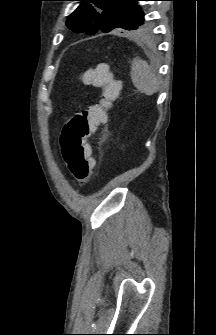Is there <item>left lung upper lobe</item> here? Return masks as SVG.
Segmentation results:
<instances>
[{
  "label": "left lung upper lobe",
  "instance_id": "obj_1",
  "mask_svg": "<svg viewBox=\"0 0 216 335\" xmlns=\"http://www.w3.org/2000/svg\"><path fill=\"white\" fill-rule=\"evenodd\" d=\"M78 1L82 2L66 21L74 32L91 35L98 31L108 33L113 29L142 30L149 27L142 9L137 5L143 0Z\"/></svg>",
  "mask_w": 216,
  "mask_h": 335
}]
</instances>
